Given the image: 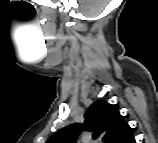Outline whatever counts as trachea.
Returning a JSON list of instances; mask_svg holds the SVG:
<instances>
[{
  "mask_svg": "<svg viewBox=\"0 0 158 143\" xmlns=\"http://www.w3.org/2000/svg\"><path fill=\"white\" fill-rule=\"evenodd\" d=\"M103 141H104V142H107V141H108V139H107V138H104V139H103Z\"/></svg>",
  "mask_w": 158,
  "mask_h": 143,
  "instance_id": "obj_1",
  "label": "trachea"
}]
</instances>
